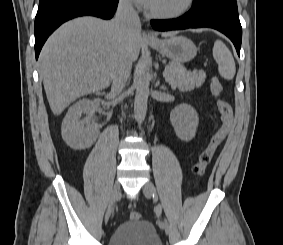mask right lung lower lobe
Masks as SVG:
<instances>
[{"label": "right lung lower lobe", "instance_id": "98d812e1", "mask_svg": "<svg viewBox=\"0 0 283 245\" xmlns=\"http://www.w3.org/2000/svg\"><path fill=\"white\" fill-rule=\"evenodd\" d=\"M119 0H40L35 17V56L48 36L65 21L83 15L110 19Z\"/></svg>", "mask_w": 283, "mask_h": 245}]
</instances>
